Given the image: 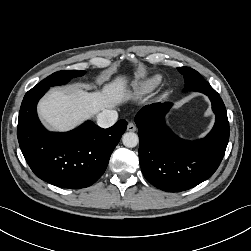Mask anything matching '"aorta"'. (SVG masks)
<instances>
[{"label": "aorta", "instance_id": "obj_1", "mask_svg": "<svg viewBox=\"0 0 251 251\" xmlns=\"http://www.w3.org/2000/svg\"><path fill=\"white\" fill-rule=\"evenodd\" d=\"M122 142L124 146L128 148L136 147L139 143V138L136 133L133 132H127L122 136Z\"/></svg>", "mask_w": 251, "mask_h": 251}]
</instances>
